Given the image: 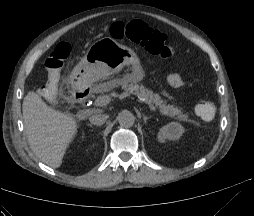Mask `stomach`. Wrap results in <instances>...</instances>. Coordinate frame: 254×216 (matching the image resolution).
Returning <instances> with one entry per match:
<instances>
[{"label":"stomach","instance_id":"1","mask_svg":"<svg viewBox=\"0 0 254 216\" xmlns=\"http://www.w3.org/2000/svg\"><path fill=\"white\" fill-rule=\"evenodd\" d=\"M124 67L129 69L125 79L132 82L143 79L144 71L137 53L112 38H102L90 46L73 69L71 79L75 84L89 83L118 74Z\"/></svg>","mask_w":254,"mask_h":216}]
</instances>
